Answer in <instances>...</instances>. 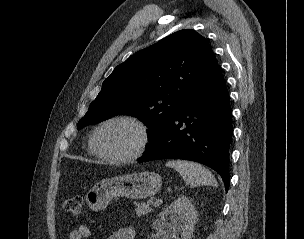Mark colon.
Returning <instances> with one entry per match:
<instances>
[{
  "mask_svg": "<svg viewBox=\"0 0 304 239\" xmlns=\"http://www.w3.org/2000/svg\"><path fill=\"white\" fill-rule=\"evenodd\" d=\"M63 209L67 213L79 216L83 212V199L81 196L75 195L68 197L63 202Z\"/></svg>",
  "mask_w": 304,
  "mask_h": 239,
  "instance_id": "obj_1",
  "label": "colon"
}]
</instances>
